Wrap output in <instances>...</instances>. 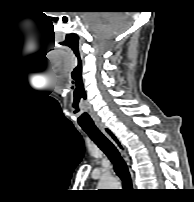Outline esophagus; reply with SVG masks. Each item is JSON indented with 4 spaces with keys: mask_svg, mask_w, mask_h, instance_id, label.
<instances>
[{
    "mask_svg": "<svg viewBox=\"0 0 194 202\" xmlns=\"http://www.w3.org/2000/svg\"><path fill=\"white\" fill-rule=\"evenodd\" d=\"M97 126L107 136V138L110 139L113 142V144L118 148L120 153L123 155L124 159L128 161L125 147L120 141L119 137L109 127L105 126L104 124H98Z\"/></svg>",
    "mask_w": 194,
    "mask_h": 202,
    "instance_id": "34e87169",
    "label": "esophagus"
}]
</instances>
